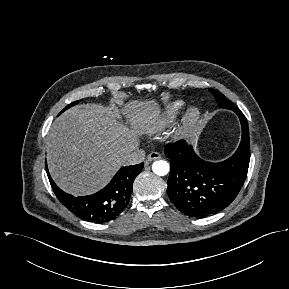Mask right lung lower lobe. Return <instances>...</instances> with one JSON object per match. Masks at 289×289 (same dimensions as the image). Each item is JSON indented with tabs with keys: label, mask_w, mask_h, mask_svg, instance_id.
<instances>
[{
	"label": "right lung lower lobe",
	"mask_w": 289,
	"mask_h": 289,
	"mask_svg": "<svg viewBox=\"0 0 289 289\" xmlns=\"http://www.w3.org/2000/svg\"><path fill=\"white\" fill-rule=\"evenodd\" d=\"M144 163L122 167L111 182L99 192L75 197L62 191L47 175L59 201L80 218L96 223L114 219L127 205L132 193L133 181L142 171Z\"/></svg>",
	"instance_id": "obj_1"
}]
</instances>
